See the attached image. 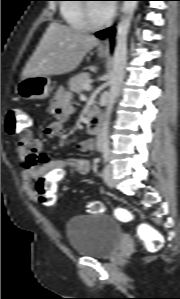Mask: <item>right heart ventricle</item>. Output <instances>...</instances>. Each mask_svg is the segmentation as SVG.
Instances as JSON below:
<instances>
[{
	"mask_svg": "<svg viewBox=\"0 0 180 299\" xmlns=\"http://www.w3.org/2000/svg\"><path fill=\"white\" fill-rule=\"evenodd\" d=\"M61 5V14L64 21L72 28L85 30L87 25L84 20L83 4L73 3L80 0H64Z\"/></svg>",
	"mask_w": 180,
	"mask_h": 299,
	"instance_id": "obj_1",
	"label": "right heart ventricle"
}]
</instances>
